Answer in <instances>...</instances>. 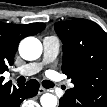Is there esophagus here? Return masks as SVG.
Segmentation results:
<instances>
[{
    "instance_id": "esophagus-1",
    "label": "esophagus",
    "mask_w": 107,
    "mask_h": 107,
    "mask_svg": "<svg viewBox=\"0 0 107 107\" xmlns=\"http://www.w3.org/2000/svg\"><path fill=\"white\" fill-rule=\"evenodd\" d=\"M48 90L43 88V87H40L39 90H38V94H43L45 92H47Z\"/></svg>"
}]
</instances>
